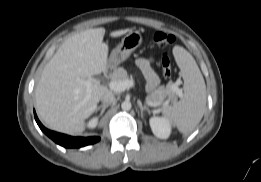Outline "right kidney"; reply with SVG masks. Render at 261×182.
<instances>
[{
	"label": "right kidney",
	"instance_id": "right-kidney-1",
	"mask_svg": "<svg viewBox=\"0 0 261 182\" xmlns=\"http://www.w3.org/2000/svg\"><path fill=\"white\" fill-rule=\"evenodd\" d=\"M98 124V117L92 118L91 120H89V122L87 123L88 128H95Z\"/></svg>",
	"mask_w": 261,
	"mask_h": 182
}]
</instances>
